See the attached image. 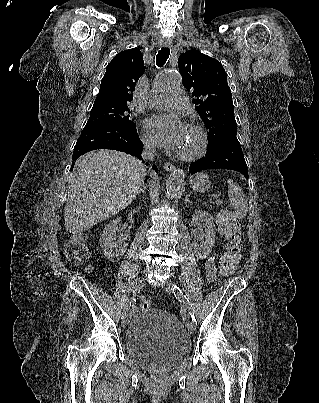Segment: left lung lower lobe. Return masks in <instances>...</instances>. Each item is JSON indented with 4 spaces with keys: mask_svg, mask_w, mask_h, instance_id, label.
I'll list each match as a JSON object with an SVG mask.
<instances>
[{
    "mask_svg": "<svg viewBox=\"0 0 319 403\" xmlns=\"http://www.w3.org/2000/svg\"><path fill=\"white\" fill-rule=\"evenodd\" d=\"M205 169L235 170L248 179V167L236 136L222 141L213 148L208 146L205 157L191 163L189 172L194 174Z\"/></svg>",
    "mask_w": 319,
    "mask_h": 403,
    "instance_id": "1",
    "label": "left lung lower lobe"
}]
</instances>
